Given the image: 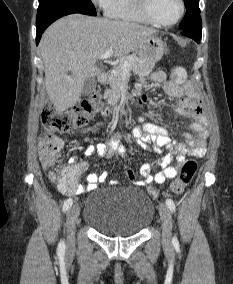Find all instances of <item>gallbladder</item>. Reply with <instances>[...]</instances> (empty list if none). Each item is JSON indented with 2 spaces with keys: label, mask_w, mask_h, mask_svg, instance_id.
Listing matches in <instances>:
<instances>
[{
  "label": "gallbladder",
  "mask_w": 233,
  "mask_h": 284,
  "mask_svg": "<svg viewBox=\"0 0 233 284\" xmlns=\"http://www.w3.org/2000/svg\"><path fill=\"white\" fill-rule=\"evenodd\" d=\"M97 86V80L95 77L87 78L82 87V95H91L95 92Z\"/></svg>",
  "instance_id": "gallbladder-1"
}]
</instances>
